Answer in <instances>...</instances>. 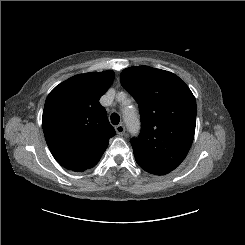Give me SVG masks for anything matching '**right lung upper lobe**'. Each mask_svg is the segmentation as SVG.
Returning <instances> with one entry per match:
<instances>
[{
	"label": "right lung upper lobe",
	"mask_w": 245,
	"mask_h": 245,
	"mask_svg": "<svg viewBox=\"0 0 245 245\" xmlns=\"http://www.w3.org/2000/svg\"><path fill=\"white\" fill-rule=\"evenodd\" d=\"M114 79L111 70L73 76L48 95L42 126L54 158L65 168H92L106 150L115 130L99 103Z\"/></svg>",
	"instance_id": "right-lung-upper-lobe-1"
}]
</instances>
